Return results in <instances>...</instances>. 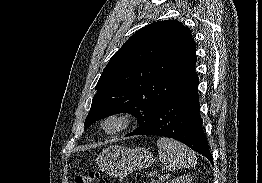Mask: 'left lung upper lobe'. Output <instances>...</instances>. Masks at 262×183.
Here are the masks:
<instances>
[{
	"instance_id": "left-lung-upper-lobe-1",
	"label": "left lung upper lobe",
	"mask_w": 262,
	"mask_h": 183,
	"mask_svg": "<svg viewBox=\"0 0 262 183\" xmlns=\"http://www.w3.org/2000/svg\"><path fill=\"white\" fill-rule=\"evenodd\" d=\"M196 63L190 29L176 20L151 23L133 34L111 57L96 85L85 128L117 113L135 116L145 129Z\"/></svg>"
}]
</instances>
